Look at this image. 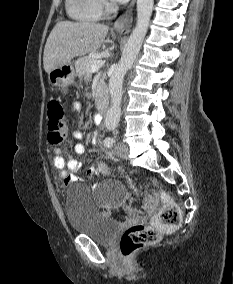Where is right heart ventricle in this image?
<instances>
[{
  "instance_id": "obj_1",
  "label": "right heart ventricle",
  "mask_w": 233,
  "mask_h": 284,
  "mask_svg": "<svg viewBox=\"0 0 233 284\" xmlns=\"http://www.w3.org/2000/svg\"><path fill=\"white\" fill-rule=\"evenodd\" d=\"M68 15L80 22H95L102 17L101 0H66Z\"/></svg>"
}]
</instances>
